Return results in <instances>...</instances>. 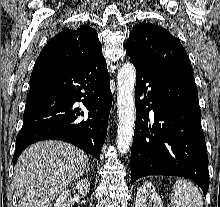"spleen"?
<instances>
[{"label": "spleen", "instance_id": "obj_1", "mask_svg": "<svg viewBox=\"0 0 220 207\" xmlns=\"http://www.w3.org/2000/svg\"><path fill=\"white\" fill-rule=\"evenodd\" d=\"M172 207H203V199L196 186L187 180H177L171 199Z\"/></svg>", "mask_w": 220, "mask_h": 207}]
</instances>
